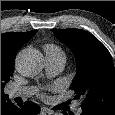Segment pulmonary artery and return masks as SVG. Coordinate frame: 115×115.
<instances>
[{"label": "pulmonary artery", "instance_id": "e3ab8cb5", "mask_svg": "<svg viewBox=\"0 0 115 115\" xmlns=\"http://www.w3.org/2000/svg\"><path fill=\"white\" fill-rule=\"evenodd\" d=\"M64 64H65L64 55L59 53H46L45 65L49 75L53 76L59 73L63 69ZM32 92L33 90L28 87H17V88H13L9 92V97L10 98L27 97L31 95ZM81 110L82 109L80 106H76L75 111L77 113H80Z\"/></svg>", "mask_w": 115, "mask_h": 115}]
</instances>
